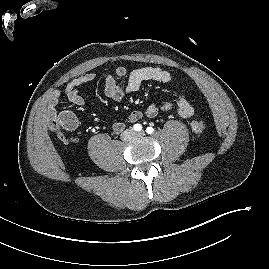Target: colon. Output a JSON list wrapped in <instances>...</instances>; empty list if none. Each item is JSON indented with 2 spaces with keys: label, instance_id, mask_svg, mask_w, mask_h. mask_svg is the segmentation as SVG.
<instances>
[{
  "label": "colon",
  "instance_id": "colon-1",
  "mask_svg": "<svg viewBox=\"0 0 269 269\" xmlns=\"http://www.w3.org/2000/svg\"><path fill=\"white\" fill-rule=\"evenodd\" d=\"M51 130L60 132L61 129L73 130L76 127L75 116L70 112H63L57 118H51L49 121ZM191 131L200 136L204 133L206 124L203 119H194L190 123Z\"/></svg>",
  "mask_w": 269,
  "mask_h": 269
}]
</instances>
